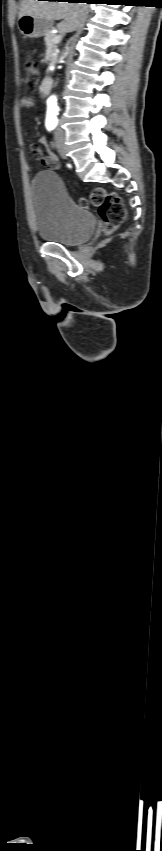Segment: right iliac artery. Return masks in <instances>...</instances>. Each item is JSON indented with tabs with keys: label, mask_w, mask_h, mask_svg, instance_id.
<instances>
[{
	"label": "right iliac artery",
	"mask_w": 162,
	"mask_h": 851,
	"mask_svg": "<svg viewBox=\"0 0 162 851\" xmlns=\"http://www.w3.org/2000/svg\"><path fill=\"white\" fill-rule=\"evenodd\" d=\"M46 128H47V130L51 131L55 128V125L54 124H47Z\"/></svg>",
	"instance_id": "obj_1"
}]
</instances>
